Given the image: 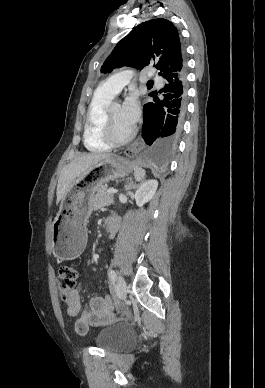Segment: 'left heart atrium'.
I'll list each match as a JSON object with an SVG mask.
<instances>
[{
  "label": "left heart atrium",
  "mask_w": 265,
  "mask_h": 388,
  "mask_svg": "<svg viewBox=\"0 0 265 388\" xmlns=\"http://www.w3.org/2000/svg\"><path fill=\"white\" fill-rule=\"evenodd\" d=\"M122 113L124 120L131 126L139 120L140 105L135 96H131L125 101Z\"/></svg>",
  "instance_id": "1"
}]
</instances>
